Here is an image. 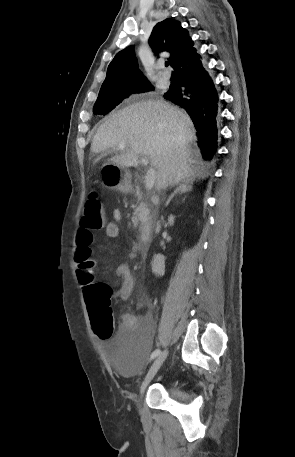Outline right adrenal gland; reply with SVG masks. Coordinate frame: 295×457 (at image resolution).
Listing matches in <instances>:
<instances>
[{
	"label": "right adrenal gland",
	"instance_id": "1",
	"mask_svg": "<svg viewBox=\"0 0 295 457\" xmlns=\"http://www.w3.org/2000/svg\"><path fill=\"white\" fill-rule=\"evenodd\" d=\"M192 188H193V181L192 180H183V181H181L178 184V187L176 188V190L167 199L166 206H168L170 204V202L172 201V199L174 198V196L176 194H182V193L190 192V191H192Z\"/></svg>",
	"mask_w": 295,
	"mask_h": 457
}]
</instances>
